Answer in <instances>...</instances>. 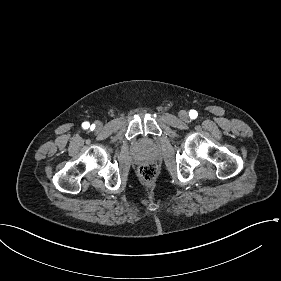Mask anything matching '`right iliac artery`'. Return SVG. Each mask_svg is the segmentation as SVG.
Returning a JSON list of instances; mask_svg holds the SVG:
<instances>
[{"label":"right iliac artery","mask_w":281,"mask_h":281,"mask_svg":"<svg viewBox=\"0 0 281 281\" xmlns=\"http://www.w3.org/2000/svg\"><path fill=\"white\" fill-rule=\"evenodd\" d=\"M82 126H83L84 129H88L90 125H89L88 122H84V123L82 124Z\"/></svg>","instance_id":"right-iliac-artery-1"}]
</instances>
